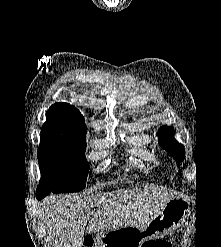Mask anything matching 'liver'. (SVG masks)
<instances>
[{
  "label": "liver",
  "instance_id": "1",
  "mask_svg": "<svg viewBox=\"0 0 221 247\" xmlns=\"http://www.w3.org/2000/svg\"><path fill=\"white\" fill-rule=\"evenodd\" d=\"M173 198L155 189L98 192L83 197L50 195L40 204V214L52 234V247H80L85 229L100 233L147 224Z\"/></svg>",
  "mask_w": 221,
  "mask_h": 247
}]
</instances>
